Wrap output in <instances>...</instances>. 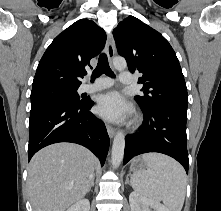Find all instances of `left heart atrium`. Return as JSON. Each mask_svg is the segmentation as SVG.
<instances>
[{"mask_svg":"<svg viewBox=\"0 0 221 211\" xmlns=\"http://www.w3.org/2000/svg\"><path fill=\"white\" fill-rule=\"evenodd\" d=\"M96 110L105 119L119 121L128 114L130 107L122 94L111 91L99 98Z\"/></svg>","mask_w":221,"mask_h":211,"instance_id":"1","label":"left heart atrium"}]
</instances>
